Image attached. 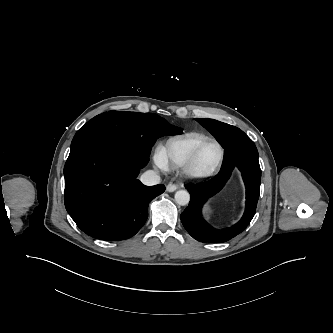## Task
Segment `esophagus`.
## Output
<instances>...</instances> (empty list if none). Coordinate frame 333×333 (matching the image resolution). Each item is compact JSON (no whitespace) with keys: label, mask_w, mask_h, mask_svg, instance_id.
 Returning a JSON list of instances; mask_svg holds the SVG:
<instances>
[{"label":"esophagus","mask_w":333,"mask_h":333,"mask_svg":"<svg viewBox=\"0 0 333 333\" xmlns=\"http://www.w3.org/2000/svg\"><path fill=\"white\" fill-rule=\"evenodd\" d=\"M177 188H178L177 185L174 184V183H169V184L166 186V190H167L168 192H174V191H176Z\"/></svg>","instance_id":"1"}]
</instances>
